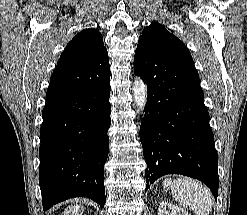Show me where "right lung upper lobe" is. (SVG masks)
<instances>
[{
    "label": "right lung upper lobe",
    "instance_id": "cb5924a9",
    "mask_svg": "<svg viewBox=\"0 0 247 215\" xmlns=\"http://www.w3.org/2000/svg\"><path fill=\"white\" fill-rule=\"evenodd\" d=\"M106 52L101 33L94 29H85L68 43L59 62L88 63Z\"/></svg>",
    "mask_w": 247,
    "mask_h": 215
}]
</instances>
